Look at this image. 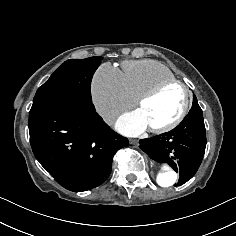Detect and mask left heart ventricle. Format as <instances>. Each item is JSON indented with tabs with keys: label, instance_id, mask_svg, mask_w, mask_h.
I'll list each match as a JSON object with an SVG mask.
<instances>
[{
	"label": "left heart ventricle",
	"instance_id": "1",
	"mask_svg": "<svg viewBox=\"0 0 236 236\" xmlns=\"http://www.w3.org/2000/svg\"><path fill=\"white\" fill-rule=\"evenodd\" d=\"M184 93L178 85L164 89L156 97L139 108L149 127H161L171 123L180 114Z\"/></svg>",
	"mask_w": 236,
	"mask_h": 236
}]
</instances>
